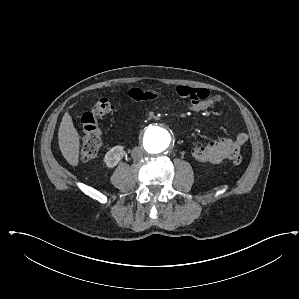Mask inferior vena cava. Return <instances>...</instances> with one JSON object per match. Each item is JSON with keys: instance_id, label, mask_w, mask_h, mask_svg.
Masks as SVG:
<instances>
[{"instance_id": "1", "label": "inferior vena cava", "mask_w": 299, "mask_h": 299, "mask_svg": "<svg viewBox=\"0 0 299 299\" xmlns=\"http://www.w3.org/2000/svg\"><path fill=\"white\" fill-rule=\"evenodd\" d=\"M143 153H144V150L142 147H134L132 149L131 156L134 160H139L140 158H142Z\"/></svg>"}]
</instances>
